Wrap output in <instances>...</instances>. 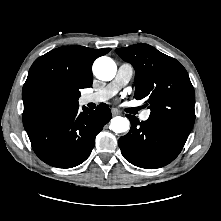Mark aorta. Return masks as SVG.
<instances>
[{"instance_id": "aorta-1", "label": "aorta", "mask_w": 221, "mask_h": 221, "mask_svg": "<svg viewBox=\"0 0 221 221\" xmlns=\"http://www.w3.org/2000/svg\"><path fill=\"white\" fill-rule=\"evenodd\" d=\"M116 64L109 57H100L93 64L95 76L102 81H110L116 75ZM110 128L115 133H123L129 130L130 122L128 119L117 116L111 119Z\"/></svg>"}]
</instances>
